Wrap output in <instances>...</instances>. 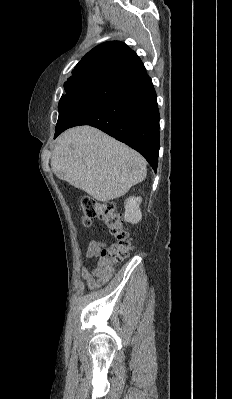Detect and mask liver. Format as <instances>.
<instances>
[{
  "mask_svg": "<svg viewBox=\"0 0 232 399\" xmlns=\"http://www.w3.org/2000/svg\"><path fill=\"white\" fill-rule=\"evenodd\" d=\"M147 162L135 150L90 126H79L57 138L51 170L98 201L120 198L147 176Z\"/></svg>",
  "mask_w": 232,
  "mask_h": 399,
  "instance_id": "1",
  "label": "liver"
}]
</instances>
